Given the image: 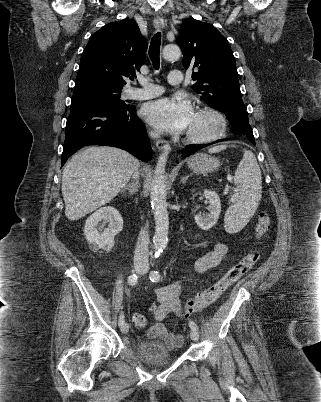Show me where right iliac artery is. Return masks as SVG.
Wrapping results in <instances>:
<instances>
[{
  "label": "right iliac artery",
  "mask_w": 321,
  "mask_h": 402,
  "mask_svg": "<svg viewBox=\"0 0 321 402\" xmlns=\"http://www.w3.org/2000/svg\"><path fill=\"white\" fill-rule=\"evenodd\" d=\"M138 277L136 274H132L128 277V283L129 285L134 286L137 283ZM125 320H124V315L121 313L119 316V321H118V325L121 327L124 324Z\"/></svg>",
  "instance_id": "1"
}]
</instances>
